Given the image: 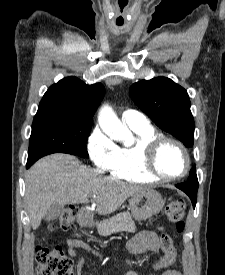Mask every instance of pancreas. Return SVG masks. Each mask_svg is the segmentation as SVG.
<instances>
[{"instance_id":"cf45deb5","label":"pancreas","mask_w":225,"mask_h":275,"mask_svg":"<svg viewBox=\"0 0 225 275\" xmlns=\"http://www.w3.org/2000/svg\"><path fill=\"white\" fill-rule=\"evenodd\" d=\"M98 233L103 236H108L112 233L122 231L134 233L136 226L129 212L119 213L108 220H104L97 224Z\"/></svg>"}]
</instances>
